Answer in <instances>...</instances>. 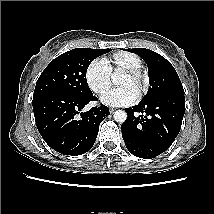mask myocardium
Returning a JSON list of instances; mask_svg holds the SVG:
<instances>
[{
  "mask_svg": "<svg viewBox=\"0 0 214 214\" xmlns=\"http://www.w3.org/2000/svg\"><path fill=\"white\" fill-rule=\"evenodd\" d=\"M125 75L129 76L132 81L138 86L139 88V95L141 96L147 87L148 83V75L147 73L140 67L137 69H131L123 71Z\"/></svg>",
  "mask_w": 214,
  "mask_h": 214,
  "instance_id": "obj_1",
  "label": "myocardium"
}]
</instances>
